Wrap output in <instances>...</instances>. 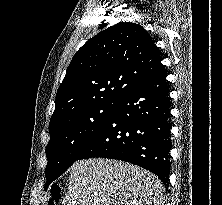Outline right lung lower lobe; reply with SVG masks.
<instances>
[{"mask_svg":"<svg viewBox=\"0 0 222 205\" xmlns=\"http://www.w3.org/2000/svg\"><path fill=\"white\" fill-rule=\"evenodd\" d=\"M166 72L132 89L78 160L103 157L141 166L169 186L171 121Z\"/></svg>","mask_w":222,"mask_h":205,"instance_id":"right-lung-lower-lobe-1","label":"right lung lower lobe"}]
</instances>
